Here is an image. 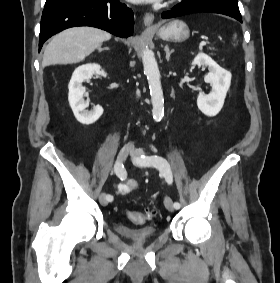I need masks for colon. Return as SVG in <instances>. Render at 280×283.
Wrapping results in <instances>:
<instances>
[{"label":"colon","mask_w":280,"mask_h":283,"mask_svg":"<svg viewBox=\"0 0 280 283\" xmlns=\"http://www.w3.org/2000/svg\"><path fill=\"white\" fill-rule=\"evenodd\" d=\"M232 41L236 42L237 38L233 37ZM127 215L132 222L136 224H143V223H146L147 221L152 220L155 217L156 212L146 211L145 213H142V212H136V211H128Z\"/></svg>","instance_id":"5ec220e1"}]
</instances>
